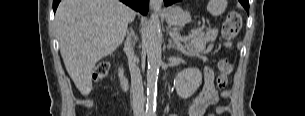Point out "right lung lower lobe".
Returning <instances> with one entry per match:
<instances>
[{
	"mask_svg": "<svg viewBox=\"0 0 305 116\" xmlns=\"http://www.w3.org/2000/svg\"><path fill=\"white\" fill-rule=\"evenodd\" d=\"M131 8L139 11L143 15H146L148 12L149 0H120ZM60 0H53V10L56 11V8Z\"/></svg>",
	"mask_w": 305,
	"mask_h": 116,
	"instance_id": "obj_1",
	"label": "right lung lower lobe"
}]
</instances>
